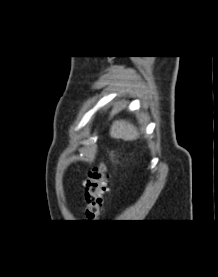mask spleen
I'll return each instance as SVG.
<instances>
[{
	"label": "spleen",
	"mask_w": 218,
	"mask_h": 277,
	"mask_svg": "<svg viewBox=\"0 0 218 277\" xmlns=\"http://www.w3.org/2000/svg\"><path fill=\"white\" fill-rule=\"evenodd\" d=\"M138 135L137 128L132 123L125 120L114 121L110 129V136L115 139L132 141L135 140Z\"/></svg>",
	"instance_id": "3e777b00"
}]
</instances>
